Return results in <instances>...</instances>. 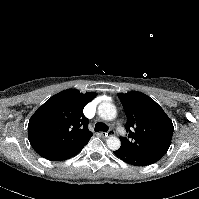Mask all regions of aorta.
<instances>
[{"label":"aorta","mask_w":199,"mask_h":199,"mask_svg":"<svg viewBox=\"0 0 199 199\" xmlns=\"http://www.w3.org/2000/svg\"><path fill=\"white\" fill-rule=\"evenodd\" d=\"M98 115L104 120H113L117 116L116 107L110 102H103L98 106ZM106 143L111 150H118L121 146L120 139L115 136L109 137Z\"/></svg>","instance_id":"aorta-1"}]
</instances>
